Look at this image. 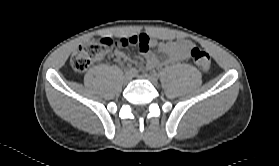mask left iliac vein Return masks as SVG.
<instances>
[{
	"mask_svg": "<svg viewBox=\"0 0 279 166\" xmlns=\"http://www.w3.org/2000/svg\"><path fill=\"white\" fill-rule=\"evenodd\" d=\"M142 79H147L148 81H150L153 85H157L158 83V78L154 75H150V74H143L139 76Z\"/></svg>",
	"mask_w": 279,
	"mask_h": 166,
	"instance_id": "4c4485c4",
	"label": "left iliac vein"
}]
</instances>
